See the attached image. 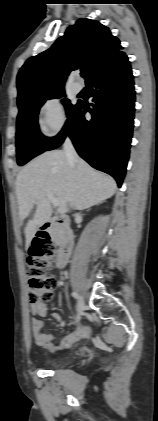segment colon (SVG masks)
Listing matches in <instances>:
<instances>
[{
  "mask_svg": "<svg viewBox=\"0 0 158 421\" xmlns=\"http://www.w3.org/2000/svg\"><path fill=\"white\" fill-rule=\"evenodd\" d=\"M55 249L48 235L39 234L29 250L27 258V278L29 300L32 304L51 300L56 287V279L50 274L51 257Z\"/></svg>",
  "mask_w": 158,
  "mask_h": 421,
  "instance_id": "obj_1",
  "label": "colon"
}]
</instances>
